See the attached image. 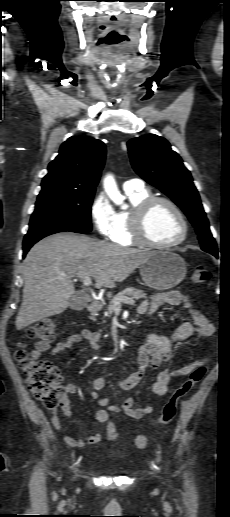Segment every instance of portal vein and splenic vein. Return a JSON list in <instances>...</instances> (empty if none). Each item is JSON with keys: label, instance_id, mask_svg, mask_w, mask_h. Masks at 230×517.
<instances>
[{"label": "portal vein and splenic vein", "instance_id": "1", "mask_svg": "<svg viewBox=\"0 0 230 517\" xmlns=\"http://www.w3.org/2000/svg\"><path fill=\"white\" fill-rule=\"evenodd\" d=\"M81 281H82L83 285H85V286H88V287L92 286V281H91L90 276H86V277L82 278ZM121 303L133 305L135 303V301L132 298L124 297V298L116 300L114 302V306L120 307Z\"/></svg>", "mask_w": 230, "mask_h": 517}]
</instances>
